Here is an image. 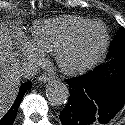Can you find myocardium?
<instances>
[{"mask_svg":"<svg viewBox=\"0 0 125 125\" xmlns=\"http://www.w3.org/2000/svg\"><path fill=\"white\" fill-rule=\"evenodd\" d=\"M95 27L99 28L102 33L100 42L95 51L79 62L73 63L68 61L67 54L79 43L85 33ZM109 39L110 37L106 26L100 21L91 20L74 31L59 45L54 53L56 63L60 70L66 75L74 76L84 73L94 67L102 59L107 50Z\"/></svg>","mask_w":125,"mask_h":125,"instance_id":"obj_1","label":"myocardium"}]
</instances>
